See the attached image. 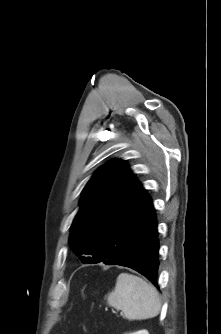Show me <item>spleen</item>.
<instances>
[{
  "label": "spleen",
  "mask_w": 221,
  "mask_h": 334,
  "mask_svg": "<svg viewBox=\"0 0 221 334\" xmlns=\"http://www.w3.org/2000/svg\"><path fill=\"white\" fill-rule=\"evenodd\" d=\"M109 306L121 310L128 320H144L157 316L161 309L158 291L142 278L121 273L114 290L107 297Z\"/></svg>",
  "instance_id": "3e777b00"
}]
</instances>
